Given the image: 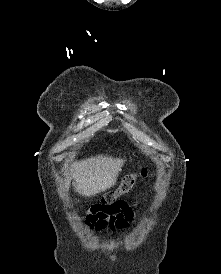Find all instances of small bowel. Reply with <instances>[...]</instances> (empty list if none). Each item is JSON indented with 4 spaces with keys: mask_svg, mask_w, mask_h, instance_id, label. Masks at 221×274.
Instances as JSON below:
<instances>
[{
    "mask_svg": "<svg viewBox=\"0 0 221 274\" xmlns=\"http://www.w3.org/2000/svg\"><path fill=\"white\" fill-rule=\"evenodd\" d=\"M134 222L133 207L125 201L119 200L111 204L93 205L85 216V225L90 232H108L115 235L127 232Z\"/></svg>",
    "mask_w": 221,
    "mask_h": 274,
    "instance_id": "obj_1",
    "label": "small bowel"
}]
</instances>
